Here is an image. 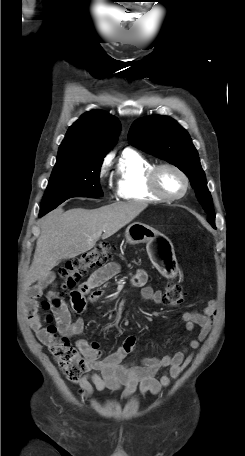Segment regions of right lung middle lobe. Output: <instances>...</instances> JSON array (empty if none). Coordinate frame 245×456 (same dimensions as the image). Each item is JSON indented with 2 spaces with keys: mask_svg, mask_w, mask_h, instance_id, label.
<instances>
[{
  "mask_svg": "<svg viewBox=\"0 0 245 456\" xmlns=\"http://www.w3.org/2000/svg\"><path fill=\"white\" fill-rule=\"evenodd\" d=\"M103 159L68 160L55 164L42 200L40 214H46L72 197H102L99 173Z\"/></svg>",
  "mask_w": 245,
  "mask_h": 456,
  "instance_id": "dd1d6c3e",
  "label": "right lung middle lobe"
}]
</instances>
